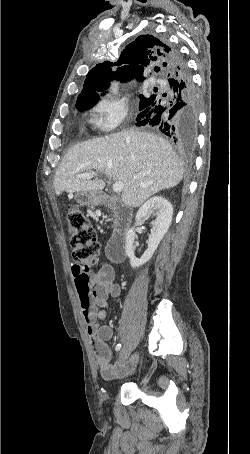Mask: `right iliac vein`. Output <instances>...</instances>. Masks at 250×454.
<instances>
[{
    "instance_id": "obj_1",
    "label": "right iliac vein",
    "mask_w": 250,
    "mask_h": 454,
    "mask_svg": "<svg viewBox=\"0 0 250 454\" xmlns=\"http://www.w3.org/2000/svg\"><path fill=\"white\" fill-rule=\"evenodd\" d=\"M129 356V348L127 346H124L122 350L119 353V359L121 361H125Z\"/></svg>"
}]
</instances>
